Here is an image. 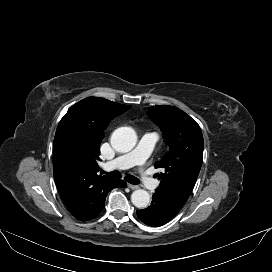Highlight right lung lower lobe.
Here are the masks:
<instances>
[{
    "label": "right lung lower lobe",
    "mask_w": 272,
    "mask_h": 272,
    "mask_svg": "<svg viewBox=\"0 0 272 272\" xmlns=\"http://www.w3.org/2000/svg\"><path fill=\"white\" fill-rule=\"evenodd\" d=\"M113 183H114L113 188H117V187H118V188H125L126 185H127L126 182L123 181V180H116V179H114V182H113ZM113 188H112V189H113ZM104 203H105V201L102 203V206H101L100 210L98 211V213H97L96 215H98V214L101 212V210H102L103 207H104ZM96 215H95V216H96ZM95 216H94V217H95ZM94 217H93V218H94Z\"/></svg>",
    "instance_id": "obj_1"
}]
</instances>
